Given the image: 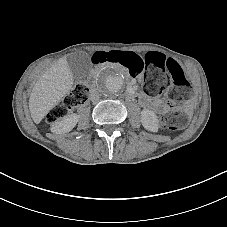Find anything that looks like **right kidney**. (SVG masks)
<instances>
[{
    "label": "right kidney",
    "instance_id": "ca27d5eb",
    "mask_svg": "<svg viewBox=\"0 0 227 227\" xmlns=\"http://www.w3.org/2000/svg\"><path fill=\"white\" fill-rule=\"evenodd\" d=\"M78 122V115L72 114L66 116L52 125V132L57 134L67 133L72 130V128Z\"/></svg>",
    "mask_w": 227,
    "mask_h": 227
}]
</instances>
